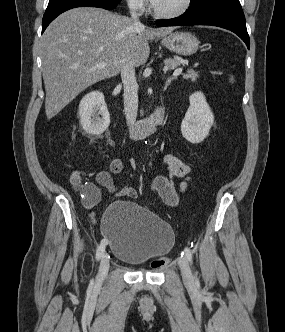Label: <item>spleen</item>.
<instances>
[{
    "label": "spleen",
    "instance_id": "1",
    "mask_svg": "<svg viewBox=\"0 0 285 332\" xmlns=\"http://www.w3.org/2000/svg\"><path fill=\"white\" fill-rule=\"evenodd\" d=\"M231 81H233V77H231V79H230Z\"/></svg>",
    "mask_w": 285,
    "mask_h": 332
}]
</instances>
